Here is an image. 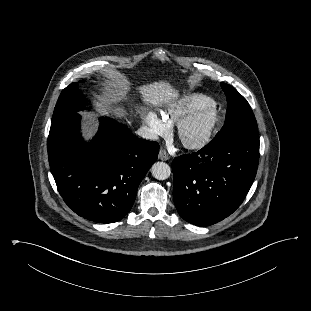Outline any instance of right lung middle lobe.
<instances>
[{"instance_id":"dd1d6c3e","label":"right lung middle lobe","mask_w":311,"mask_h":311,"mask_svg":"<svg viewBox=\"0 0 311 311\" xmlns=\"http://www.w3.org/2000/svg\"><path fill=\"white\" fill-rule=\"evenodd\" d=\"M86 100L81 91L78 90L77 83H71L60 94L54 109L52 122L64 118L67 115L77 113L84 108Z\"/></svg>"}]
</instances>
